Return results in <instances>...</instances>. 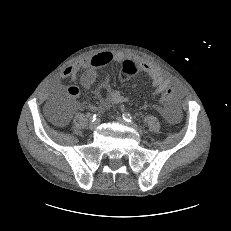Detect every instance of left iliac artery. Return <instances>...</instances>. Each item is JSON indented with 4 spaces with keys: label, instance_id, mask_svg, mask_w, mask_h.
<instances>
[{
    "label": "left iliac artery",
    "instance_id": "1",
    "mask_svg": "<svg viewBox=\"0 0 231 231\" xmlns=\"http://www.w3.org/2000/svg\"><path fill=\"white\" fill-rule=\"evenodd\" d=\"M123 119L125 120V121H127V122H129V123H132L133 122V118H132V116L129 114V113H127V112H125V113H123Z\"/></svg>",
    "mask_w": 231,
    "mask_h": 231
}]
</instances>
